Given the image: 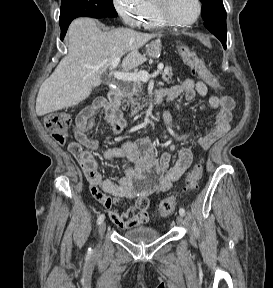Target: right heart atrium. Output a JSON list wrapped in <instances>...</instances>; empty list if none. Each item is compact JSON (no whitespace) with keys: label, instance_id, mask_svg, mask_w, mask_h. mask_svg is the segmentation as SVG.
Here are the masks:
<instances>
[{"label":"right heart atrium","instance_id":"1","mask_svg":"<svg viewBox=\"0 0 273 288\" xmlns=\"http://www.w3.org/2000/svg\"><path fill=\"white\" fill-rule=\"evenodd\" d=\"M112 3L122 20L130 26L139 25L147 7V0H112Z\"/></svg>","mask_w":273,"mask_h":288}]
</instances>
